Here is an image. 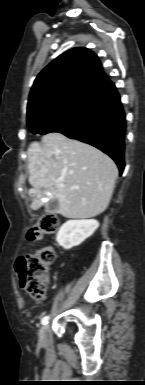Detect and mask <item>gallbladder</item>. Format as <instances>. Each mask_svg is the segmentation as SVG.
<instances>
[{
	"label": "gallbladder",
	"mask_w": 145,
	"mask_h": 385,
	"mask_svg": "<svg viewBox=\"0 0 145 385\" xmlns=\"http://www.w3.org/2000/svg\"><path fill=\"white\" fill-rule=\"evenodd\" d=\"M45 211L47 213H56L58 211V202L57 200H51L45 204Z\"/></svg>",
	"instance_id": "1"
}]
</instances>
